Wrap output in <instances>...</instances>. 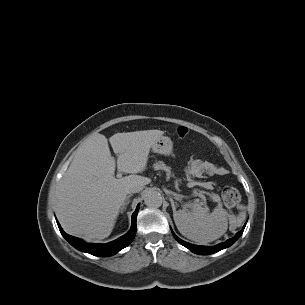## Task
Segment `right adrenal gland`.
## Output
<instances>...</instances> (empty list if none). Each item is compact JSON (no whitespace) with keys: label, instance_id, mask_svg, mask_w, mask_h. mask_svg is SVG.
Here are the masks:
<instances>
[{"label":"right adrenal gland","instance_id":"1","mask_svg":"<svg viewBox=\"0 0 305 305\" xmlns=\"http://www.w3.org/2000/svg\"><path fill=\"white\" fill-rule=\"evenodd\" d=\"M131 196H132V194H130L126 197L125 202L123 203L122 208H121V213H123L126 210L127 205L130 203L129 199Z\"/></svg>","mask_w":305,"mask_h":305}]
</instances>
